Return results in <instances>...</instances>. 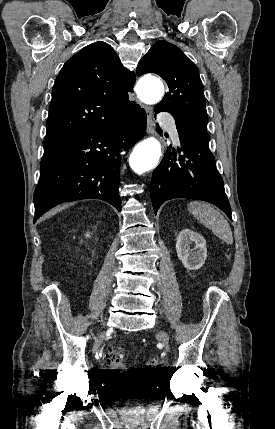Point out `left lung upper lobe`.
Masks as SVG:
<instances>
[{"label": "left lung upper lobe", "mask_w": 275, "mask_h": 429, "mask_svg": "<svg viewBox=\"0 0 275 429\" xmlns=\"http://www.w3.org/2000/svg\"><path fill=\"white\" fill-rule=\"evenodd\" d=\"M137 75L156 73L168 86V93L155 108L168 111L176 125L210 139L204 88L196 65L175 45L156 42L139 61Z\"/></svg>", "instance_id": "1"}]
</instances>
